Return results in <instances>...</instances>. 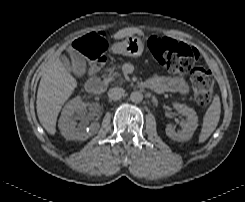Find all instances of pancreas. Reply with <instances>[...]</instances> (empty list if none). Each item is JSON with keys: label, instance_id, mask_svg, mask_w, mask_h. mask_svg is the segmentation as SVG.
<instances>
[{"label": "pancreas", "instance_id": "obj_1", "mask_svg": "<svg viewBox=\"0 0 245 202\" xmlns=\"http://www.w3.org/2000/svg\"><path fill=\"white\" fill-rule=\"evenodd\" d=\"M108 75H107V78L105 79V81L108 83V82H111V81H114L116 78H119L121 79L120 77V74L118 72L115 71V67H112L108 70Z\"/></svg>", "mask_w": 245, "mask_h": 202}]
</instances>
